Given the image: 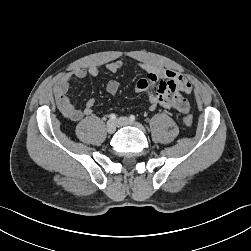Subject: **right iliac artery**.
Wrapping results in <instances>:
<instances>
[{
    "label": "right iliac artery",
    "instance_id": "82829eb1",
    "mask_svg": "<svg viewBox=\"0 0 251 251\" xmlns=\"http://www.w3.org/2000/svg\"><path fill=\"white\" fill-rule=\"evenodd\" d=\"M110 120H115L117 118L116 114H110L109 115Z\"/></svg>",
    "mask_w": 251,
    "mask_h": 251
}]
</instances>
